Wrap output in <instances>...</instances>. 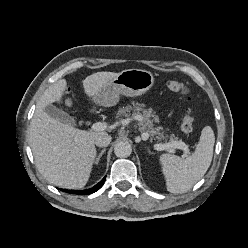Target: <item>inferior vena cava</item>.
<instances>
[{"label": "inferior vena cava", "mask_w": 248, "mask_h": 248, "mask_svg": "<svg viewBox=\"0 0 248 248\" xmlns=\"http://www.w3.org/2000/svg\"><path fill=\"white\" fill-rule=\"evenodd\" d=\"M111 136L108 135L107 133H102L99 134L96 138H95V144L98 147H107L110 142H111Z\"/></svg>", "instance_id": "inferior-vena-cava-1"}]
</instances>
